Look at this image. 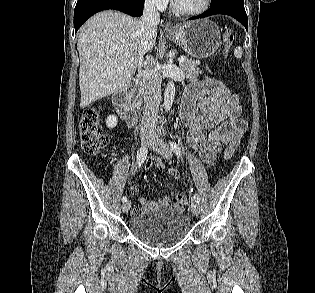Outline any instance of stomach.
<instances>
[{
	"instance_id": "stomach-1",
	"label": "stomach",
	"mask_w": 315,
	"mask_h": 293,
	"mask_svg": "<svg viewBox=\"0 0 315 293\" xmlns=\"http://www.w3.org/2000/svg\"><path fill=\"white\" fill-rule=\"evenodd\" d=\"M168 37L190 56L205 59L216 52L221 35L214 22L204 19L185 23Z\"/></svg>"
}]
</instances>
